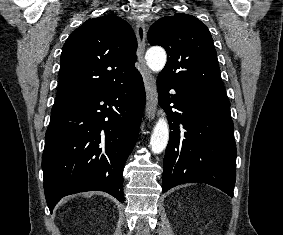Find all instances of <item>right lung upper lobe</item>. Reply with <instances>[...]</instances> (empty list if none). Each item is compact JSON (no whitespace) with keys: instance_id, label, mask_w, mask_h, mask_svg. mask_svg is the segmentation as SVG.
Listing matches in <instances>:
<instances>
[{"instance_id":"obj_1","label":"right lung upper lobe","mask_w":283,"mask_h":235,"mask_svg":"<svg viewBox=\"0 0 283 235\" xmlns=\"http://www.w3.org/2000/svg\"><path fill=\"white\" fill-rule=\"evenodd\" d=\"M136 49L133 30L120 17L109 14L85 21L63 46L55 105L133 78L139 73Z\"/></svg>"}]
</instances>
